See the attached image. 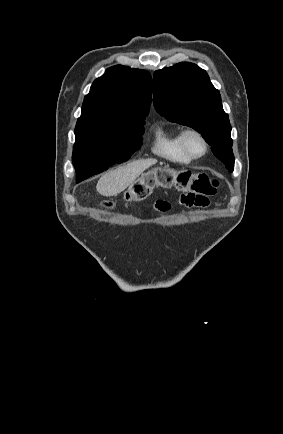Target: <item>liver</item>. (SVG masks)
I'll use <instances>...</instances> for the list:
<instances>
[{"instance_id": "liver-1", "label": "liver", "mask_w": 283, "mask_h": 434, "mask_svg": "<svg viewBox=\"0 0 283 434\" xmlns=\"http://www.w3.org/2000/svg\"><path fill=\"white\" fill-rule=\"evenodd\" d=\"M157 163L155 159L137 160L104 174L96 189L103 196H116L130 186L146 169Z\"/></svg>"}]
</instances>
